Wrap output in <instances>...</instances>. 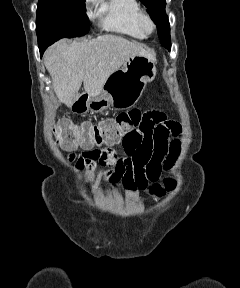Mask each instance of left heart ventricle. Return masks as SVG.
I'll list each match as a JSON object with an SVG mask.
<instances>
[{"instance_id": "1", "label": "left heart ventricle", "mask_w": 240, "mask_h": 288, "mask_svg": "<svg viewBox=\"0 0 240 288\" xmlns=\"http://www.w3.org/2000/svg\"><path fill=\"white\" fill-rule=\"evenodd\" d=\"M145 28H146V30H150L151 29L150 23L146 22L145 23Z\"/></svg>"}]
</instances>
